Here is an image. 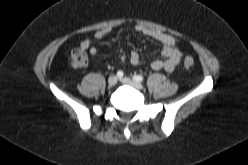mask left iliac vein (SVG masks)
<instances>
[{
  "mask_svg": "<svg viewBox=\"0 0 248 165\" xmlns=\"http://www.w3.org/2000/svg\"><path fill=\"white\" fill-rule=\"evenodd\" d=\"M120 81L122 83L130 85V86H132V87H134L135 89H138V90L143 88V85L141 83H139L137 81H134V80H132V79H130L128 77H123V78L120 79Z\"/></svg>",
  "mask_w": 248,
  "mask_h": 165,
  "instance_id": "obj_1",
  "label": "left iliac vein"
}]
</instances>
